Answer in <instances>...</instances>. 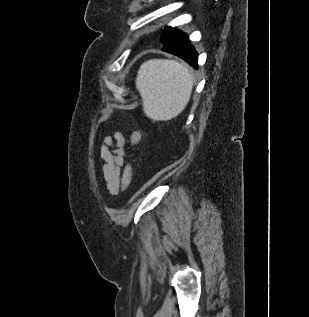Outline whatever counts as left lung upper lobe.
Returning a JSON list of instances; mask_svg holds the SVG:
<instances>
[{
  "instance_id": "5c2ea615",
  "label": "left lung upper lobe",
  "mask_w": 309,
  "mask_h": 317,
  "mask_svg": "<svg viewBox=\"0 0 309 317\" xmlns=\"http://www.w3.org/2000/svg\"><path fill=\"white\" fill-rule=\"evenodd\" d=\"M181 33L180 30L172 28V27H165V29L162 32L161 35V43L164 45L170 41H172L173 39H175L179 34Z\"/></svg>"
}]
</instances>
